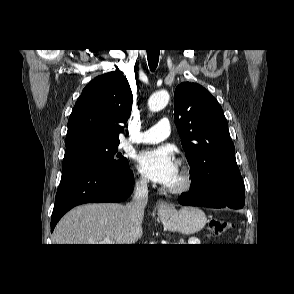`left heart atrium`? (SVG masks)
<instances>
[{"label":"left heart atrium","mask_w":294,"mask_h":294,"mask_svg":"<svg viewBox=\"0 0 294 294\" xmlns=\"http://www.w3.org/2000/svg\"><path fill=\"white\" fill-rule=\"evenodd\" d=\"M140 173L153 182L168 186L178 172L172 151L166 147L142 151L136 157Z\"/></svg>","instance_id":"obj_1"}]
</instances>
